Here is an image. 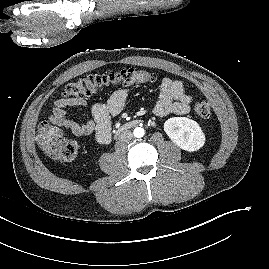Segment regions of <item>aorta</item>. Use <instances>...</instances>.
Wrapping results in <instances>:
<instances>
[{
  "mask_svg": "<svg viewBox=\"0 0 269 269\" xmlns=\"http://www.w3.org/2000/svg\"><path fill=\"white\" fill-rule=\"evenodd\" d=\"M133 134L136 138H142L145 134V131L143 128L141 127H136L134 130H133Z\"/></svg>",
  "mask_w": 269,
  "mask_h": 269,
  "instance_id": "1",
  "label": "aorta"
}]
</instances>
